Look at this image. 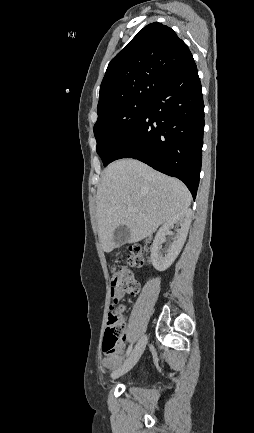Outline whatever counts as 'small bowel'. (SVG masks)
Masks as SVG:
<instances>
[{"label": "small bowel", "mask_w": 254, "mask_h": 433, "mask_svg": "<svg viewBox=\"0 0 254 433\" xmlns=\"http://www.w3.org/2000/svg\"><path fill=\"white\" fill-rule=\"evenodd\" d=\"M114 295H115L117 300H120L124 297L125 292H121V291L115 292ZM124 310H125V307L121 306V311H124ZM122 321L124 323L123 319H122ZM122 350H123V347H119L118 353L110 354V355L106 354V356L103 359V366L105 368L111 369V370L119 368V366L122 362V359H123Z\"/></svg>", "instance_id": "obj_1"}]
</instances>
